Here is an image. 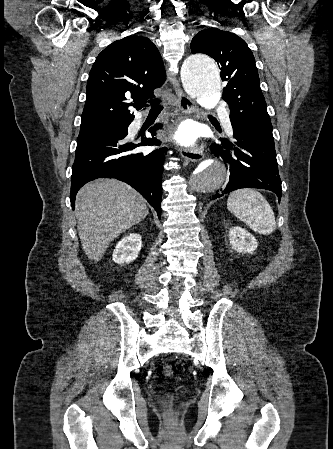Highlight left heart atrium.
<instances>
[{
    "mask_svg": "<svg viewBox=\"0 0 333 449\" xmlns=\"http://www.w3.org/2000/svg\"><path fill=\"white\" fill-rule=\"evenodd\" d=\"M175 140L182 144L189 146L193 144L195 140V134L193 132V129L189 126H181L178 131L175 134Z\"/></svg>",
    "mask_w": 333,
    "mask_h": 449,
    "instance_id": "obj_1",
    "label": "left heart atrium"
}]
</instances>
